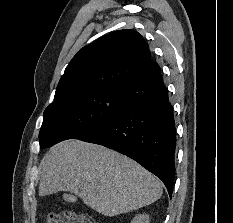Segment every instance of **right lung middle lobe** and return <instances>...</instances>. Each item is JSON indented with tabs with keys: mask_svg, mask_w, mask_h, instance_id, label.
Listing matches in <instances>:
<instances>
[{
	"mask_svg": "<svg viewBox=\"0 0 233 223\" xmlns=\"http://www.w3.org/2000/svg\"><path fill=\"white\" fill-rule=\"evenodd\" d=\"M121 89L96 88L54 99L45 109L40 147L84 134L112 118L122 107Z\"/></svg>",
	"mask_w": 233,
	"mask_h": 223,
	"instance_id": "1",
	"label": "right lung middle lobe"
}]
</instances>
